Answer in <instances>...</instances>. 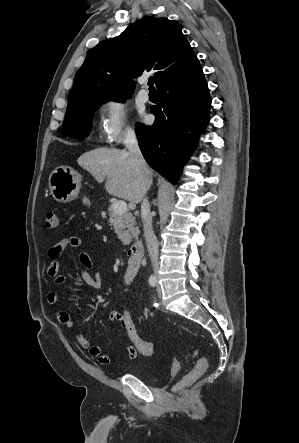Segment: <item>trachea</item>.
<instances>
[{
  "label": "trachea",
  "instance_id": "trachea-1",
  "mask_svg": "<svg viewBox=\"0 0 299 443\" xmlns=\"http://www.w3.org/2000/svg\"><path fill=\"white\" fill-rule=\"evenodd\" d=\"M148 86H149L150 91H156V89L154 87V78L153 77H150L148 79Z\"/></svg>",
  "mask_w": 299,
  "mask_h": 443
}]
</instances>
